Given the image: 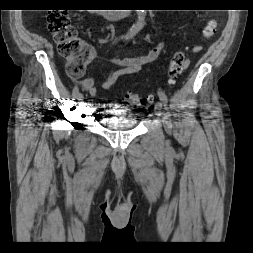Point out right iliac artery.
Listing matches in <instances>:
<instances>
[{
    "label": "right iliac artery",
    "instance_id": "right-iliac-artery-1",
    "mask_svg": "<svg viewBox=\"0 0 253 253\" xmlns=\"http://www.w3.org/2000/svg\"><path fill=\"white\" fill-rule=\"evenodd\" d=\"M72 95H73V101H76V98L79 95V89L77 86L74 87Z\"/></svg>",
    "mask_w": 253,
    "mask_h": 253
}]
</instances>
